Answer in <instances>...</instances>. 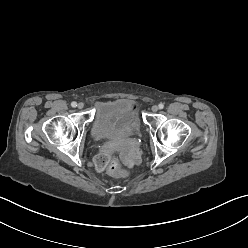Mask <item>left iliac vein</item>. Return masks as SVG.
<instances>
[{"mask_svg":"<svg viewBox=\"0 0 248 248\" xmlns=\"http://www.w3.org/2000/svg\"><path fill=\"white\" fill-rule=\"evenodd\" d=\"M159 110V107L157 105L152 106V111L155 113Z\"/></svg>","mask_w":248,"mask_h":248,"instance_id":"left-iliac-vein-1","label":"left iliac vein"}]
</instances>
